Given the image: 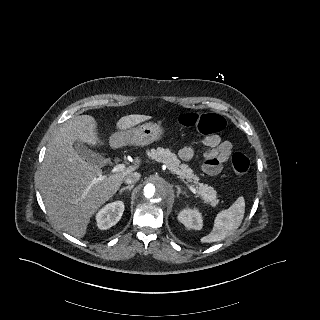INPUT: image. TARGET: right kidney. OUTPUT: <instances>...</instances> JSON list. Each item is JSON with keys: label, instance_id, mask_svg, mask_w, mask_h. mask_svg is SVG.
Wrapping results in <instances>:
<instances>
[{"label": "right kidney", "instance_id": "1", "mask_svg": "<svg viewBox=\"0 0 320 320\" xmlns=\"http://www.w3.org/2000/svg\"><path fill=\"white\" fill-rule=\"evenodd\" d=\"M124 204L116 201L105 205L96 215V222L99 229H109L122 217Z\"/></svg>", "mask_w": 320, "mask_h": 320}]
</instances>
